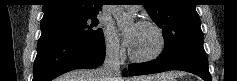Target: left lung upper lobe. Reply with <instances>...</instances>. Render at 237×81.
I'll return each instance as SVG.
<instances>
[{
    "mask_svg": "<svg viewBox=\"0 0 237 81\" xmlns=\"http://www.w3.org/2000/svg\"><path fill=\"white\" fill-rule=\"evenodd\" d=\"M144 7L163 30V55H171L188 43L203 40L195 0H147Z\"/></svg>",
    "mask_w": 237,
    "mask_h": 81,
    "instance_id": "5c2ea615",
    "label": "left lung upper lobe"
}]
</instances>
